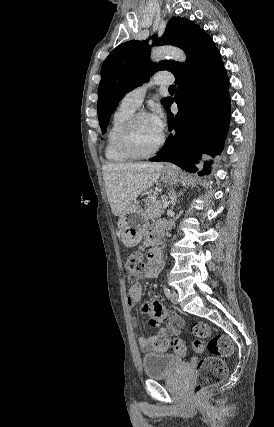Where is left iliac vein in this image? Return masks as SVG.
Here are the masks:
<instances>
[{"label":"left iliac vein","mask_w":274,"mask_h":427,"mask_svg":"<svg viewBox=\"0 0 274 427\" xmlns=\"http://www.w3.org/2000/svg\"><path fill=\"white\" fill-rule=\"evenodd\" d=\"M171 301H172L174 304H177V303H178V293H177L176 291H173V292H172V294H171Z\"/></svg>","instance_id":"obj_1"}]
</instances>
